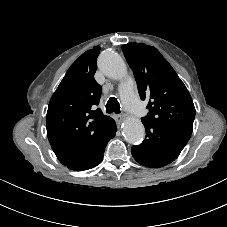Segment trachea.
Segmentation results:
<instances>
[{
    "label": "trachea",
    "mask_w": 227,
    "mask_h": 227,
    "mask_svg": "<svg viewBox=\"0 0 227 227\" xmlns=\"http://www.w3.org/2000/svg\"><path fill=\"white\" fill-rule=\"evenodd\" d=\"M105 107H106V112L109 114L113 112L116 114H119L121 112L120 104L115 97H110Z\"/></svg>",
    "instance_id": "obj_1"
}]
</instances>
